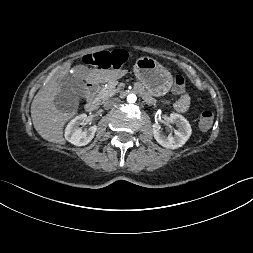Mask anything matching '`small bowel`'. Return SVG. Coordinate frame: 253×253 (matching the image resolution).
Masks as SVG:
<instances>
[{
    "mask_svg": "<svg viewBox=\"0 0 253 253\" xmlns=\"http://www.w3.org/2000/svg\"><path fill=\"white\" fill-rule=\"evenodd\" d=\"M191 98L188 95L181 96L175 103V109L178 112L185 113L189 110Z\"/></svg>",
    "mask_w": 253,
    "mask_h": 253,
    "instance_id": "c3829d8e",
    "label": "small bowel"
}]
</instances>
